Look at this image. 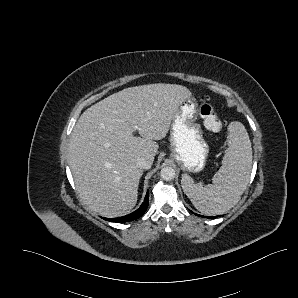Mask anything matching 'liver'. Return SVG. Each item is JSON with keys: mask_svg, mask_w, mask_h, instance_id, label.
I'll list each match as a JSON object with an SVG mask.
<instances>
[{"mask_svg": "<svg viewBox=\"0 0 298 298\" xmlns=\"http://www.w3.org/2000/svg\"><path fill=\"white\" fill-rule=\"evenodd\" d=\"M192 96L183 85L154 83L125 88L85 110L70 139L69 164L83 202L104 217L136 205L142 171L154 161L179 105ZM138 130L140 137L133 135Z\"/></svg>", "mask_w": 298, "mask_h": 298, "instance_id": "1", "label": "liver"}]
</instances>
